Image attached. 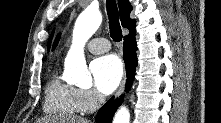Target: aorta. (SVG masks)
I'll return each instance as SVG.
<instances>
[{
	"label": "aorta",
	"instance_id": "1",
	"mask_svg": "<svg viewBox=\"0 0 221 123\" xmlns=\"http://www.w3.org/2000/svg\"><path fill=\"white\" fill-rule=\"evenodd\" d=\"M101 22V13L91 8L85 9L75 22L72 46L65 58L64 69L67 80L79 87L92 85V77L87 69L83 47L99 28ZM129 120V110L121 107L115 114L113 123H129Z\"/></svg>",
	"mask_w": 221,
	"mask_h": 123
}]
</instances>
